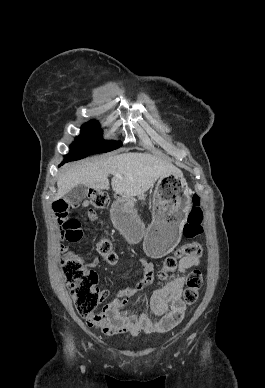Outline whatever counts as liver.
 Segmentation results:
<instances>
[{
  "label": "liver",
  "instance_id": "6515ba94",
  "mask_svg": "<svg viewBox=\"0 0 265 388\" xmlns=\"http://www.w3.org/2000/svg\"><path fill=\"white\" fill-rule=\"evenodd\" d=\"M108 174H113L111 186L115 194L124 198L141 196L154 186L158 178L182 176L173 164L152 154H119L105 158H87L57 178L58 192L54 200H60L72 188L83 184L93 190H109ZM120 174L122 178H117Z\"/></svg>",
  "mask_w": 265,
  "mask_h": 388
}]
</instances>
